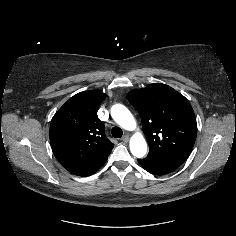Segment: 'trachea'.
<instances>
[{"label":"trachea","instance_id":"3493384b","mask_svg":"<svg viewBox=\"0 0 236 236\" xmlns=\"http://www.w3.org/2000/svg\"><path fill=\"white\" fill-rule=\"evenodd\" d=\"M111 133H112L113 137H115V138H120L123 135V131L121 130V128H119L117 126H115L111 129Z\"/></svg>","mask_w":236,"mask_h":236}]
</instances>
